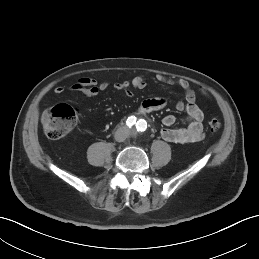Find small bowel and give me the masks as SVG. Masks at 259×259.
<instances>
[{
    "mask_svg": "<svg viewBox=\"0 0 259 259\" xmlns=\"http://www.w3.org/2000/svg\"><path fill=\"white\" fill-rule=\"evenodd\" d=\"M158 81L175 85L184 91V101L176 103L178 111H185L187 114L188 125L185 128H171L175 124L176 118L174 115H167L162 122L165 126L161 132V137L168 142L176 144L198 142L204 138L203 119L204 114L196 102V93L190 83L185 79H176L166 77L162 74H157ZM146 86V79L143 75H138L131 80H124L116 83L114 88L123 95L131 96V89H143ZM109 88V82L98 81L92 77H82L70 86L71 91L82 92L86 96H96ZM65 91L62 86L54 88L53 93L61 95ZM205 94V92H204ZM166 106L164 98L155 97L143 100L138 106L137 113L146 115L154 111H159Z\"/></svg>",
    "mask_w": 259,
    "mask_h": 259,
    "instance_id": "1",
    "label": "small bowel"
}]
</instances>
